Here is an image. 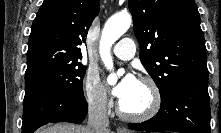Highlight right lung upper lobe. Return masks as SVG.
I'll return each instance as SVG.
<instances>
[{"mask_svg": "<svg viewBox=\"0 0 221 133\" xmlns=\"http://www.w3.org/2000/svg\"><path fill=\"white\" fill-rule=\"evenodd\" d=\"M99 6V0H44L32 24L25 75L78 62Z\"/></svg>", "mask_w": 221, "mask_h": 133, "instance_id": "obj_1", "label": "right lung upper lobe"}]
</instances>
